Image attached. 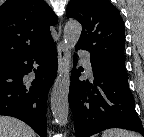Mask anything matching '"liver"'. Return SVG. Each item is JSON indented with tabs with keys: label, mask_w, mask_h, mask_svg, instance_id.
Segmentation results:
<instances>
[{
	"label": "liver",
	"mask_w": 144,
	"mask_h": 137,
	"mask_svg": "<svg viewBox=\"0 0 144 137\" xmlns=\"http://www.w3.org/2000/svg\"><path fill=\"white\" fill-rule=\"evenodd\" d=\"M0 137H36V133L16 118L0 116Z\"/></svg>",
	"instance_id": "6515ba94"
}]
</instances>
